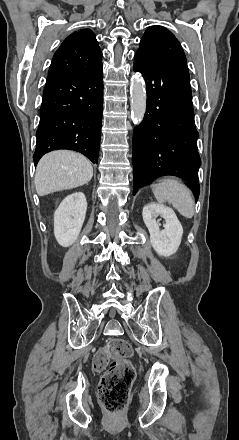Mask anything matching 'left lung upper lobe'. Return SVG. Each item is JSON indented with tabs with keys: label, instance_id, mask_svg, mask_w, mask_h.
Instances as JSON below:
<instances>
[{
	"label": "left lung upper lobe",
	"instance_id": "5c2ea615",
	"mask_svg": "<svg viewBox=\"0 0 239 440\" xmlns=\"http://www.w3.org/2000/svg\"><path fill=\"white\" fill-rule=\"evenodd\" d=\"M136 53L152 59L186 63L180 43L162 26H151L146 30Z\"/></svg>",
	"mask_w": 239,
	"mask_h": 440
}]
</instances>
